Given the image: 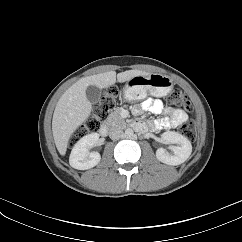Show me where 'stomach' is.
I'll return each mask as SVG.
<instances>
[{
    "instance_id": "obj_1",
    "label": "stomach",
    "mask_w": 242,
    "mask_h": 242,
    "mask_svg": "<svg viewBox=\"0 0 242 242\" xmlns=\"http://www.w3.org/2000/svg\"><path fill=\"white\" fill-rule=\"evenodd\" d=\"M174 87L173 80L163 74L151 73L149 75H136L129 79L124 88L126 100H140L150 93L156 97L168 95Z\"/></svg>"
}]
</instances>
